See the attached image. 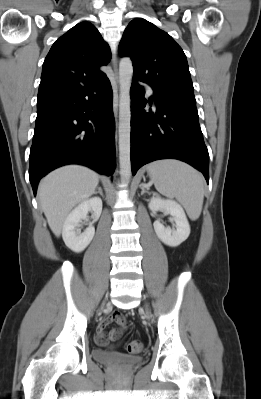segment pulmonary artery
Wrapping results in <instances>:
<instances>
[{"label": "pulmonary artery", "mask_w": 261, "mask_h": 399, "mask_svg": "<svg viewBox=\"0 0 261 399\" xmlns=\"http://www.w3.org/2000/svg\"><path fill=\"white\" fill-rule=\"evenodd\" d=\"M145 88H146L147 94L150 96H153V94H154L153 89L147 84H145Z\"/></svg>", "instance_id": "pulmonary-artery-1"}]
</instances>
